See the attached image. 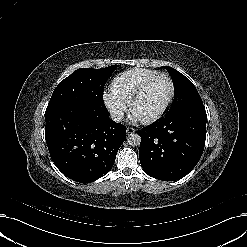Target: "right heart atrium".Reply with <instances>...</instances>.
I'll use <instances>...</instances> for the list:
<instances>
[{
    "instance_id": "obj_1",
    "label": "right heart atrium",
    "mask_w": 247,
    "mask_h": 247,
    "mask_svg": "<svg viewBox=\"0 0 247 247\" xmlns=\"http://www.w3.org/2000/svg\"><path fill=\"white\" fill-rule=\"evenodd\" d=\"M104 103L110 112L117 118H120L125 111V104L121 102L112 93L105 94Z\"/></svg>"
}]
</instances>
